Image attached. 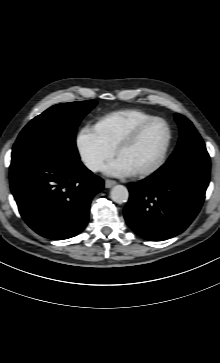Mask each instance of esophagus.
<instances>
[{"instance_id": "1", "label": "esophagus", "mask_w": 220, "mask_h": 363, "mask_svg": "<svg viewBox=\"0 0 220 363\" xmlns=\"http://www.w3.org/2000/svg\"><path fill=\"white\" fill-rule=\"evenodd\" d=\"M117 182L114 180H110V179H106L105 180V187L106 188H111L112 186L116 185Z\"/></svg>"}]
</instances>
